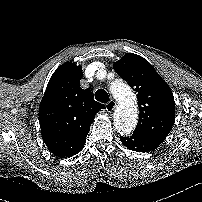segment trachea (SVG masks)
I'll return each mask as SVG.
<instances>
[{
  "mask_svg": "<svg viewBox=\"0 0 202 202\" xmlns=\"http://www.w3.org/2000/svg\"><path fill=\"white\" fill-rule=\"evenodd\" d=\"M95 99L99 102L106 103L109 100V95L106 90L98 89L95 92Z\"/></svg>",
  "mask_w": 202,
  "mask_h": 202,
  "instance_id": "obj_1",
  "label": "trachea"
}]
</instances>
